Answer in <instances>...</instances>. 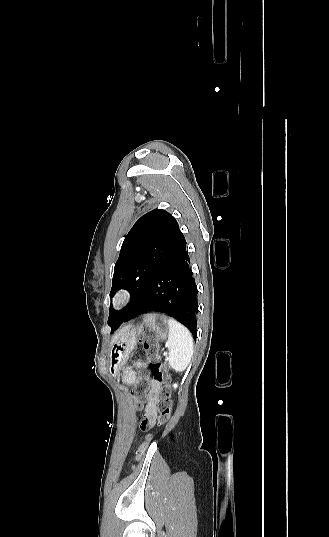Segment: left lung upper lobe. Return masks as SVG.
<instances>
[{
  "mask_svg": "<svg viewBox=\"0 0 329 537\" xmlns=\"http://www.w3.org/2000/svg\"><path fill=\"white\" fill-rule=\"evenodd\" d=\"M184 244L177 221L165 210H152L137 220L122 244L110 292L114 296L119 289H127L132 300L122 311L109 310L111 332L137 305L159 269Z\"/></svg>",
  "mask_w": 329,
  "mask_h": 537,
  "instance_id": "obj_1",
  "label": "left lung upper lobe"
}]
</instances>
